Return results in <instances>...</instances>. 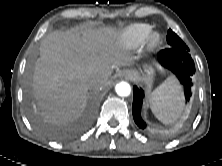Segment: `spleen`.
<instances>
[{
  "label": "spleen",
  "instance_id": "spleen-1",
  "mask_svg": "<svg viewBox=\"0 0 222 166\" xmlns=\"http://www.w3.org/2000/svg\"><path fill=\"white\" fill-rule=\"evenodd\" d=\"M152 112L158 120L165 124L179 118L183 108L181 85L171 76L149 95Z\"/></svg>",
  "mask_w": 222,
  "mask_h": 166
}]
</instances>
